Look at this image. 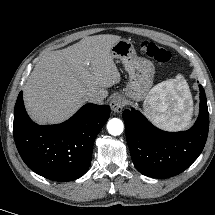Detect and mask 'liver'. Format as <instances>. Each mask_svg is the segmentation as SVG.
Returning a JSON list of instances; mask_svg holds the SVG:
<instances>
[{"label":"liver","mask_w":215,"mask_h":215,"mask_svg":"<svg viewBox=\"0 0 215 215\" xmlns=\"http://www.w3.org/2000/svg\"><path fill=\"white\" fill-rule=\"evenodd\" d=\"M120 39L109 34L85 37L43 55L23 90L30 117L40 124L59 123L87 102L89 94L106 97L107 88L121 80L111 54L112 46Z\"/></svg>","instance_id":"liver-1"}]
</instances>
